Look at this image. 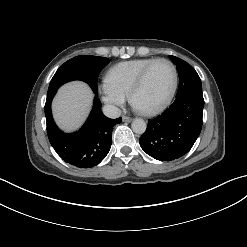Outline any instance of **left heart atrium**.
<instances>
[{
    "label": "left heart atrium",
    "mask_w": 247,
    "mask_h": 247,
    "mask_svg": "<svg viewBox=\"0 0 247 247\" xmlns=\"http://www.w3.org/2000/svg\"><path fill=\"white\" fill-rule=\"evenodd\" d=\"M135 107L139 110V108L137 106H135Z\"/></svg>",
    "instance_id": "39dd6f15"
}]
</instances>
